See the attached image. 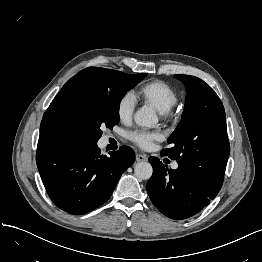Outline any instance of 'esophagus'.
I'll return each instance as SVG.
<instances>
[{
	"label": "esophagus",
	"mask_w": 262,
	"mask_h": 262,
	"mask_svg": "<svg viewBox=\"0 0 262 262\" xmlns=\"http://www.w3.org/2000/svg\"><path fill=\"white\" fill-rule=\"evenodd\" d=\"M147 156L143 154H137L136 155V161L137 162H142V161H147Z\"/></svg>",
	"instance_id": "esophagus-1"
}]
</instances>
